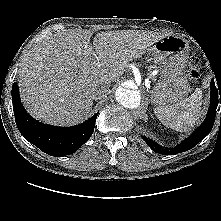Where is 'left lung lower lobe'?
<instances>
[{
  "mask_svg": "<svg viewBox=\"0 0 221 221\" xmlns=\"http://www.w3.org/2000/svg\"><path fill=\"white\" fill-rule=\"evenodd\" d=\"M210 86V107L203 124L196 130V132H194L190 137L181 142V144L175 148H162L144 136L143 139L154 152L164 155H174L187 151L196 146L210 133L214 125L218 102L221 103V86L218 85L217 88V85L215 86L214 79L211 80Z\"/></svg>",
  "mask_w": 221,
  "mask_h": 221,
  "instance_id": "1",
  "label": "left lung lower lobe"
}]
</instances>
